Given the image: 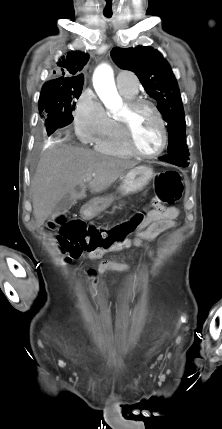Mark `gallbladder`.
<instances>
[{
  "mask_svg": "<svg viewBox=\"0 0 222 429\" xmlns=\"http://www.w3.org/2000/svg\"><path fill=\"white\" fill-rule=\"evenodd\" d=\"M76 201L70 197V195H65L53 208V215L63 214L67 212Z\"/></svg>",
  "mask_w": 222,
  "mask_h": 429,
  "instance_id": "bac80fb5",
  "label": "gallbladder"
}]
</instances>
